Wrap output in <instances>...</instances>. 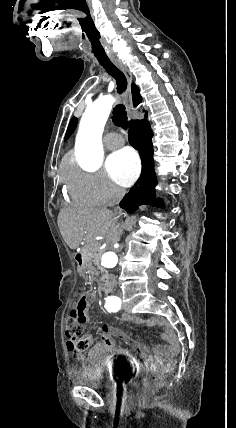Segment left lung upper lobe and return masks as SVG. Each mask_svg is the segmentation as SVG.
I'll use <instances>...</instances> for the list:
<instances>
[{
	"label": "left lung upper lobe",
	"instance_id": "left-lung-upper-lobe-1",
	"mask_svg": "<svg viewBox=\"0 0 236 428\" xmlns=\"http://www.w3.org/2000/svg\"><path fill=\"white\" fill-rule=\"evenodd\" d=\"M77 118L73 117L69 123L66 135H65V140H67L69 138V136L73 133V131L76 128L77 125Z\"/></svg>",
	"mask_w": 236,
	"mask_h": 428
}]
</instances>
